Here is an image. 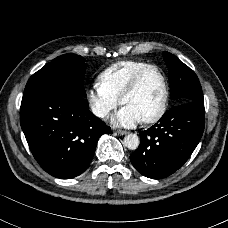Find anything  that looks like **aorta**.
Instances as JSON below:
<instances>
[{"label":"aorta","instance_id":"aorta-1","mask_svg":"<svg viewBox=\"0 0 228 228\" xmlns=\"http://www.w3.org/2000/svg\"><path fill=\"white\" fill-rule=\"evenodd\" d=\"M140 144L137 134H128L124 137V145L130 150H136Z\"/></svg>","mask_w":228,"mask_h":228}]
</instances>
